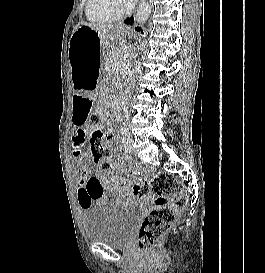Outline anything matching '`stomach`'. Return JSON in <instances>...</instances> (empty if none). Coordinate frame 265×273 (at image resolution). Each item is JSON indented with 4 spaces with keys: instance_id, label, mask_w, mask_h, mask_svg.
<instances>
[{
    "instance_id": "1",
    "label": "stomach",
    "mask_w": 265,
    "mask_h": 273,
    "mask_svg": "<svg viewBox=\"0 0 265 273\" xmlns=\"http://www.w3.org/2000/svg\"><path fill=\"white\" fill-rule=\"evenodd\" d=\"M130 34L128 29H120L114 41L100 35L87 26H80L73 32L69 41V61L75 95H92V90H98L100 80L107 78L108 64H101V57L105 49H134V44H110L120 42ZM108 60H118V55H108ZM91 79V80H85ZM74 104V103H73Z\"/></svg>"
}]
</instances>
